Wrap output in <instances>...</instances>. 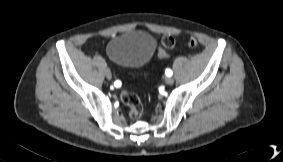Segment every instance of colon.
<instances>
[{
    "instance_id": "colon-1",
    "label": "colon",
    "mask_w": 283,
    "mask_h": 162,
    "mask_svg": "<svg viewBox=\"0 0 283 162\" xmlns=\"http://www.w3.org/2000/svg\"><path fill=\"white\" fill-rule=\"evenodd\" d=\"M175 45V40L172 36L166 35L161 40V46L158 50V57L160 59H167L169 57L168 51L171 50ZM187 46L189 48H196L198 46V41L195 37H190L187 40ZM120 100L123 104L128 107L129 116L132 119H136L141 116L143 111L142 103L139 97L130 91L122 90L120 92Z\"/></svg>"
}]
</instances>
